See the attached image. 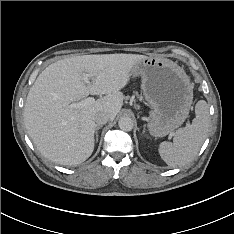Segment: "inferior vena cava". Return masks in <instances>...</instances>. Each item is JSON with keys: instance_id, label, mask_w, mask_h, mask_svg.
<instances>
[{"instance_id": "inferior-vena-cava-1", "label": "inferior vena cava", "mask_w": 234, "mask_h": 234, "mask_svg": "<svg viewBox=\"0 0 234 234\" xmlns=\"http://www.w3.org/2000/svg\"><path fill=\"white\" fill-rule=\"evenodd\" d=\"M95 122L98 124H106L110 119L111 115L106 111H99L95 114Z\"/></svg>"}]
</instances>
